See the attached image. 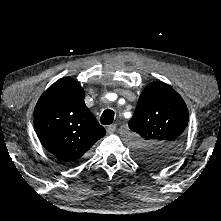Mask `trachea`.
<instances>
[{
  "instance_id": "trachea-1",
  "label": "trachea",
  "mask_w": 221,
  "mask_h": 221,
  "mask_svg": "<svg viewBox=\"0 0 221 221\" xmlns=\"http://www.w3.org/2000/svg\"><path fill=\"white\" fill-rule=\"evenodd\" d=\"M114 120V112L112 110H105L100 118L103 125H110Z\"/></svg>"
}]
</instances>
